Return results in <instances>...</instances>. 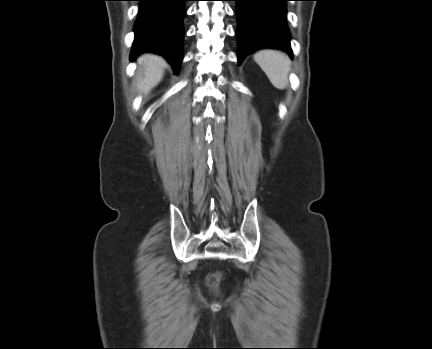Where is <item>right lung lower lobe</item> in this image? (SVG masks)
<instances>
[{"mask_svg":"<svg viewBox=\"0 0 432 349\" xmlns=\"http://www.w3.org/2000/svg\"><path fill=\"white\" fill-rule=\"evenodd\" d=\"M131 60L142 52L163 55L179 72L183 54V17L187 0H138Z\"/></svg>","mask_w":432,"mask_h":349,"instance_id":"98d812e1","label":"right lung lower lobe"}]
</instances>
